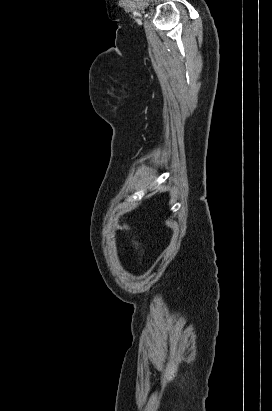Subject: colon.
<instances>
[{
    "instance_id": "obj_1",
    "label": "colon",
    "mask_w": 272,
    "mask_h": 411,
    "mask_svg": "<svg viewBox=\"0 0 272 411\" xmlns=\"http://www.w3.org/2000/svg\"><path fill=\"white\" fill-rule=\"evenodd\" d=\"M125 229L127 230L128 228H126L125 227ZM135 249H136V251L139 253L140 252V250H139V248H138V246L135 244Z\"/></svg>"
}]
</instances>
